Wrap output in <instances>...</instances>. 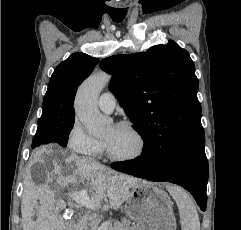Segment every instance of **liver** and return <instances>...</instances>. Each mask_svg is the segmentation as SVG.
Returning a JSON list of instances; mask_svg holds the SVG:
<instances>
[{"mask_svg": "<svg viewBox=\"0 0 241 230\" xmlns=\"http://www.w3.org/2000/svg\"><path fill=\"white\" fill-rule=\"evenodd\" d=\"M34 164H39L44 169L46 181L43 185H36L30 174L24 181L21 199L23 230H66L58 213L60 202L49 186L53 178L62 188L82 184L85 189L81 191L89 190L94 200H100L106 191L112 209L120 208L130 195L129 189L141 182L104 165L93 164L73 153L61 152L57 159L54 151L46 147L33 152L30 166ZM71 193L78 192L72 191L69 195ZM35 215L37 218L33 220Z\"/></svg>", "mask_w": 241, "mask_h": 230, "instance_id": "obj_1", "label": "liver"}]
</instances>
